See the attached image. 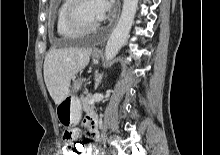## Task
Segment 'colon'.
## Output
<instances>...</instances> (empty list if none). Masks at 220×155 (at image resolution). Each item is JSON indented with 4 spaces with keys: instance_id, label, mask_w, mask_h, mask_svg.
<instances>
[{
    "instance_id": "colon-1",
    "label": "colon",
    "mask_w": 220,
    "mask_h": 155,
    "mask_svg": "<svg viewBox=\"0 0 220 155\" xmlns=\"http://www.w3.org/2000/svg\"><path fill=\"white\" fill-rule=\"evenodd\" d=\"M75 133V131H73ZM66 146H61L62 155H83L84 147L82 142L65 141Z\"/></svg>"
}]
</instances>
